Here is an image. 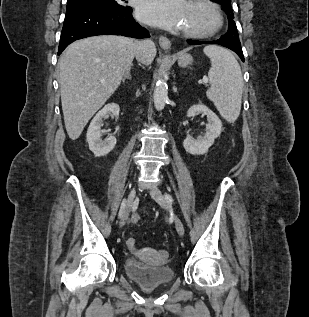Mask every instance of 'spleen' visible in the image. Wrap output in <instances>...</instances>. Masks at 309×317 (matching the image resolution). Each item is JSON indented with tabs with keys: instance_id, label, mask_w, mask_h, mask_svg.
I'll return each instance as SVG.
<instances>
[{
	"instance_id": "3e777b00",
	"label": "spleen",
	"mask_w": 309,
	"mask_h": 317,
	"mask_svg": "<svg viewBox=\"0 0 309 317\" xmlns=\"http://www.w3.org/2000/svg\"><path fill=\"white\" fill-rule=\"evenodd\" d=\"M203 52L210 58V88L206 95L228 122L236 121L241 110L243 77L234 55L223 47L208 45Z\"/></svg>"
}]
</instances>
